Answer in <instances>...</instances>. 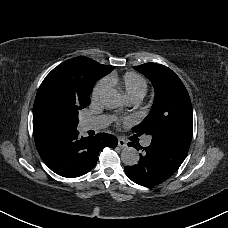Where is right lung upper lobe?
Listing matches in <instances>:
<instances>
[{
  "mask_svg": "<svg viewBox=\"0 0 228 228\" xmlns=\"http://www.w3.org/2000/svg\"><path fill=\"white\" fill-rule=\"evenodd\" d=\"M115 67L102 65L87 57H75L55 67L46 78H52L67 88L76 92L77 95H89L97 80L110 73ZM34 136L51 132L36 115H33Z\"/></svg>",
  "mask_w": 228,
  "mask_h": 228,
  "instance_id": "obj_1",
  "label": "right lung upper lobe"
}]
</instances>
